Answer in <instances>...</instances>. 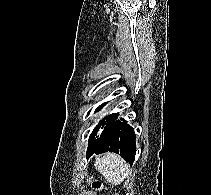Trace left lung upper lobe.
Segmentation results:
<instances>
[{
    "mask_svg": "<svg viewBox=\"0 0 211 195\" xmlns=\"http://www.w3.org/2000/svg\"><path fill=\"white\" fill-rule=\"evenodd\" d=\"M106 105V103L101 104L96 110L95 112H98L101 108H103ZM117 117V114H111L105 118H103L98 125L94 128V130L92 131L89 141H88V148H87V152L90 151L97 143L102 130L115 118Z\"/></svg>",
    "mask_w": 211,
    "mask_h": 195,
    "instance_id": "obj_1",
    "label": "left lung upper lobe"
}]
</instances>
